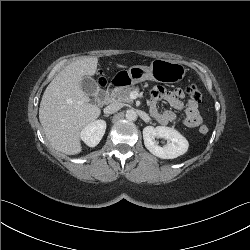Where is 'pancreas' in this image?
Segmentation results:
<instances>
[{
    "mask_svg": "<svg viewBox=\"0 0 250 250\" xmlns=\"http://www.w3.org/2000/svg\"><path fill=\"white\" fill-rule=\"evenodd\" d=\"M134 91L139 92V88L136 86L117 88L113 91L112 96L117 102L132 103L133 99L130 98V94Z\"/></svg>",
    "mask_w": 250,
    "mask_h": 250,
    "instance_id": "1",
    "label": "pancreas"
}]
</instances>
